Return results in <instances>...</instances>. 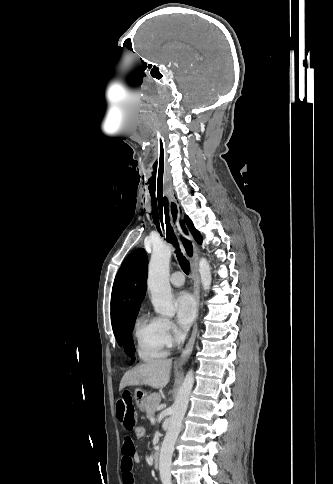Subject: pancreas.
<instances>
[{
    "instance_id": "1",
    "label": "pancreas",
    "mask_w": 333,
    "mask_h": 484,
    "mask_svg": "<svg viewBox=\"0 0 333 484\" xmlns=\"http://www.w3.org/2000/svg\"><path fill=\"white\" fill-rule=\"evenodd\" d=\"M160 401H161L160 395L157 393H153L148 396L146 401V406H145V411L148 419L154 417L155 410L157 406L160 404Z\"/></svg>"
}]
</instances>
